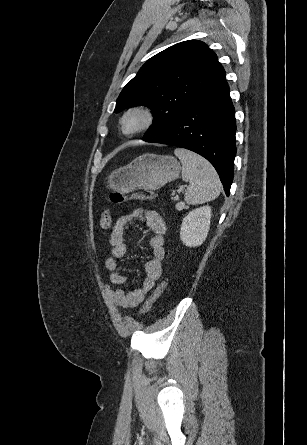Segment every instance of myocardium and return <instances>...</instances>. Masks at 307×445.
<instances>
[{"label":"myocardium","instance_id":"1","mask_svg":"<svg viewBox=\"0 0 307 445\" xmlns=\"http://www.w3.org/2000/svg\"><path fill=\"white\" fill-rule=\"evenodd\" d=\"M133 111L143 112L146 115V122L138 130H136L132 133H126L123 130V123H124V120L127 117V115ZM157 121H158V112L155 109V107H153L152 105H150L148 103H137V104L131 105L124 111V113L121 117V120H120V130H121V133L125 136H128V137L135 136V135H138L140 133H143V132H146V131H149L150 129H152L157 124Z\"/></svg>","mask_w":307,"mask_h":445}]
</instances>
